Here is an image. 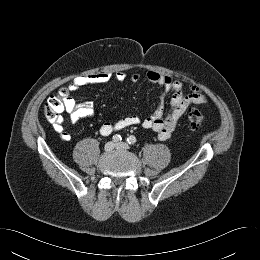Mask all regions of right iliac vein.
I'll use <instances>...</instances> for the list:
<instances>
[{
  "label": "right iliac vein",
  "instance_id": "63e3f726",
  "mask_svg": "<svg viewBox=\"0 0 260 260\" xmlns=\"http://www.w3.org/2000/svg\"><path fill=\"white\" fill-rule=\"evenodd\" d=\"M115 148V143L113 141H109L105 144L104 149L105 151L109 152Z\"/></svg>",
  "mask_w": 260,
  "mask_h": 260
}]
</instances>
